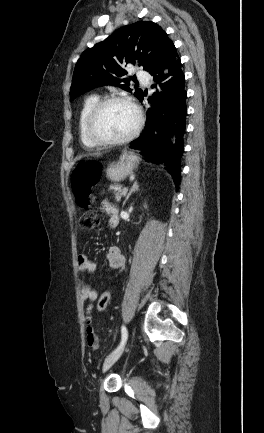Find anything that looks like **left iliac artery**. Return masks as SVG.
Segmentation results:
<instances>
[{"instance_id":"44dca946","label":"left iliac artery","mask_w":264,"mask_h":433,"mask_svg":"<svg viewBox=\"0 0 264 433\" xmlns=\"http://www.w3.org/2000/svg\"><path fill=\"white\" fill-rule=\"evenodd\" d=\"M121 333H122V340H121V343H120V346L118 347V349L124 344V342L126 341V339H127V330H126V327L125 326H122L121 327ZM117 349V350H118Z\"/></svg>"}]
</instances>
